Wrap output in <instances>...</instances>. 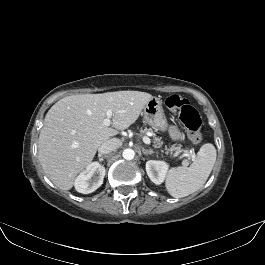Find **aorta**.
<instances>
[{
    "label": "aorta",
    "instance_id": "1",
    "mask_svg": "<svg viewBox=\"0 0 265 265\" xmlns=\"http://www.w3.org/2000/svg\"><path fill=\"white\" fill-rule=\"evenodd\" d=\"M122 156L126 160H132L135 157V152L128 148L123 151Z\"/></svg>",
    "mask_w": 265,
    "mask_h": 265
}]
</instances>
